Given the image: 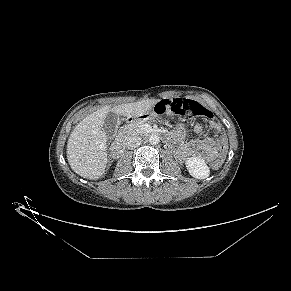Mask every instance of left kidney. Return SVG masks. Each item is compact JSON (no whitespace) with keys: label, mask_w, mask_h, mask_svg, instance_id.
Returning <instances> with one entry per match:
<instances>
[{"label":"left kidney","mask_w":291,"mask_h":291,"mask_svg":"<svg viewBox=\"0 0 291 291\" xmlns=\"http://www.w3.org/2000/svg\"><path fill=\"white\" fill-rule=\"evenodd\" d=\"M185 164L190 175L197 179H205L210 174L209 167L202 158L199 157L187 158Z\"/></svg>","instance_id":"5707ae66"}]
</instances>
